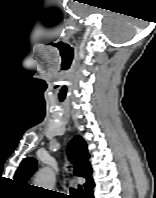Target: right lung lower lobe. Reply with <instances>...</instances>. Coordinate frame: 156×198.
I'll return each mask as SVG.
<instances>
[{"instance_id":"1","label":"right lung lower lobe","mask_w":156,"mask_h":198,"mask_svg":"<svg viewBox=\"0 0 156 198\" xmlns=\"http://www.w3.org/2000/svg\"><path fill=\"white\" fill-rule=\"evenodd\" d=\"M84 198H94L93 192L90 191L88 194H84Z\"/></svg>"}]
</instances>
